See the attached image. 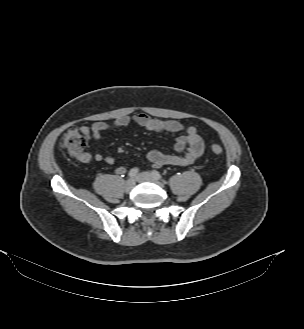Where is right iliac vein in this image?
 <instances>
[{
  "label": "right iliac vein",
  "instance_id": "1",
  "mask_svg": "<svg viewBox=\"0 0 304 329\" xmlns=\"http://www.w3.org/2000/svg\"><path fill=\"white\" fill-rule=\"evenodd\" d=\"M134 186H135V180L132 178L128 179L124 185L125 191L130 192L134 188Z\"/></svg>",
  "mask_w": 304,
  "mask_h": 329
}]
</instances>
